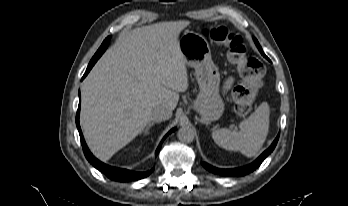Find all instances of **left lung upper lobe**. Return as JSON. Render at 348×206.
<instances>
[{"label":"left lung upper lobe","instance_id":"left-lung-upper-lobe-1","mask_svg":"<svg viewBox=\"0 0 348 206\" xmlns=\"http://www.w3.org/2000/svg\"><path fill=\"white\" fill-rule=\"evenodd\" d=\"M255 43H256V45H257L259 51L261 52V54H262L265 58H267L266 55L264 54V52H263V50H262L260 44L258 43V41H257L256 39H255Z\"/></svg>","mask_w":348,"mask_h":206}]
</instances>
